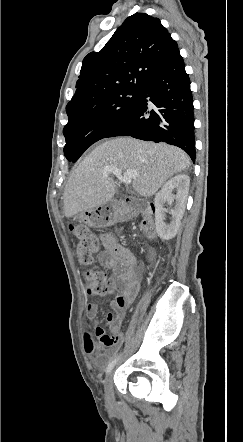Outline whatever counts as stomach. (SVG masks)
Instances as JSON below:
<instances>
[{
    "label": "stomach",
    "mask_w": 243,
    "mask_h": 442,
    "mask_svg": "<svg viewBox=\"0 0 243 442\" xmlns=\"http://www.w3.org/2000/svg\"><path fill=\"white\" fill-rule=\"evenodd\" d=\"M78 217L90 227L103 228L115 224L119 213L112 203H106L97 208L82 211Z\"/></svg>",
    "instance_id": "0dacf381"
}]
</instances>
